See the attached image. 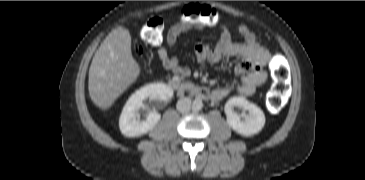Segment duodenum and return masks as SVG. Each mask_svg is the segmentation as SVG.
<instances>
[{
  "instance_id": "410a0bca",
  "label": "duodenum",
  "mask_w": 365,
  "mask_h": 180,
  "mask_svg": "<svg viewBox=\"0 0 365 180\" xmlns=\"http://www.w3.org/2000/svg\"><path fill=\"white\" fill-rule=\"evenodd\" d=\"M169 87L172 88L174 91H176L179 94L183 93H191L201 99H209L210 93L197 85L189 84L182 82L180 80H172L169 82Z\"/></svg>"
}]
</instances>
